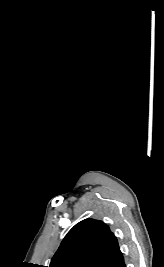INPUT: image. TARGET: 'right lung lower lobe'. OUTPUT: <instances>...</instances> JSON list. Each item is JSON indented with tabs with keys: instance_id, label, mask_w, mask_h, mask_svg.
I'll return each mask as SVG.
<instances>
[{
	"instance_id": "right-lung-lower-lobe-1",
	"label": "right lung lower lobe",
	"mask_w": 164,
	"mask_h": 267,
	"mask_svg": "<svg viewBox=\"0 0 164 267\" xmlns=\"http://www.w3.org/2000/svg\"><path fill=\"white\" fill-rule=\"evenodd\" d=\"M99 267H126V265L124 263L122 253L118 251L112 257L102 263Z\"/></svg>"
}]
</instances>
